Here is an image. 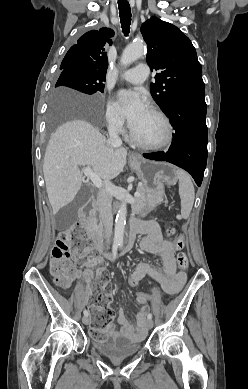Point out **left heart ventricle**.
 I'll list each match as a JSON object with an SVG mask.
<instances>
[{
    "label": "left heart ventricle",
    "mask_w": 248,
    "mask_h": 389,
    "mask_svg": "<svg viewBox=\"0 0 248 389\" xmlns=\"http://www.w3.org/2000/svg\"><path fill=\"white\" fill-rule=\"evenodd\" d=\"M131 129L138 139L148 143L160 141L165 133L162 121L148 109Z\"/></svg>",
    "instance_id": "obj_1"
}]
</instances>
